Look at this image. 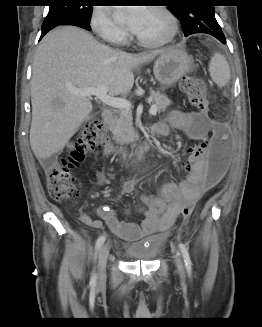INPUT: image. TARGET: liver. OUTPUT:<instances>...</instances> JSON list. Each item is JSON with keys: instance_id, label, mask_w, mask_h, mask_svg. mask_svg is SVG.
<instances>
[{"instance_id": "1", "label": "liver", "mask_w": 262, "mask_h": 327, "mask_svg": "<svg viewBox=\"0 0 262 327\" xmlns=\"http://www.w3.org/2000/svg\"><path fill=\"white\" fill-rule=\"evenodd\" d=\"M164 51L132 55L99 43L73 26L49 32L39 44L31 80L30 145L38 160L61 151L92 112L88 97L71 90L104 86L110 96L128 93L133 69Z\"/></svg>"}]
</instances>
